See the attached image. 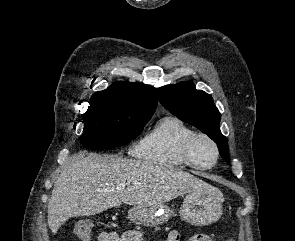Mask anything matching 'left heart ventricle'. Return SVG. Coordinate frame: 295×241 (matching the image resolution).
Wrapping results in <instances>:
<instances>
[{
  "mask_svg": "<svg viewBox=\"0 0 295 241\" xmlns=\"http://www.w3.org/2000/svg\"><path fill=\"white\" fill-rule=\"evenodd\" d=\"M195 162L202 166L210 165L215 159V151L212 145L205 139H197L192 148Z\"/></svg>",
  "mask_w": 295,
  "mask_h": 241,
  "instance_id": "1",
  "label": "left heart ventricle"
}]
</instances>
